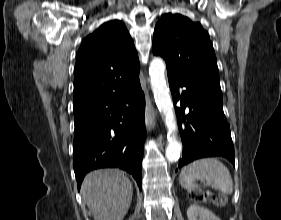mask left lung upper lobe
I'll return each mask as SVG.
<instances>
[{
	"instance_id": "5c2ea615",
	"label": "left lung upper lobe",
	"mask_w": 281,
	"mask_h": 220,
	"mask_svg": "<svg viewBox=\"0 0 281 220\" xmlns=\"http://www.w3.org/2000/svg\"><path fill=\"white\" fill-rule=\"evenodd\" d=\"M152 49L166 60L168 76L197 82L222 97L213 45L200 23L164 14L156 24Z\"/></svg>"
}]
</instances>
